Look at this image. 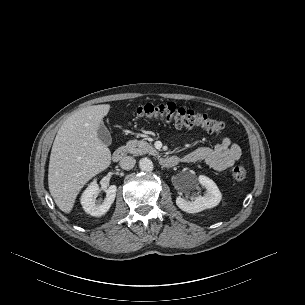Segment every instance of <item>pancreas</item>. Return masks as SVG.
I'll use <instances>...</instances> for the list:
<instances>
[{"label": "pancreas", "instance_id": "1", "mask_svg": "<svg viewBox=\"0 0 305 305\" xmlns=\"http://www.w3.org/2000/svg\"><path fill=\"white\" fill-rule=\"evenodd\" d=\"M124 148L127 153L133 155H155L157 153L156 149L144 140H130Z\"/></svg>", "mask_w": 305, "mask_h": 305}]
</instances>
